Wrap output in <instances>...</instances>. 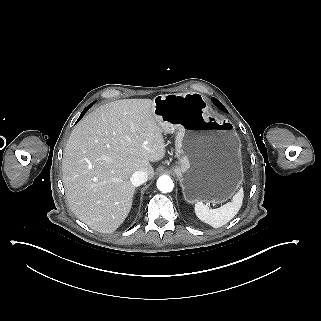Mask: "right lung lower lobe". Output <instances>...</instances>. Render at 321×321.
Here are the masks:
<instances>
[{
  "mask_svg": "<svg viewBox=\"0 0 321 321\" xmlns=\"http://www.w3.org/2000/svg\"><path fill=\"white\" fill-rule=\"evenodd\" d=\"M95 102H92L91 104H89L81 113L79 119L77 120V122L83 117V115L85 114V112L94 104Z\"/></svg>",
  "mask_w": 321,
  "mask_h": 321,
  "instance_id": "98d812e1",
  "label": "right lung lower lobe"
}]
</instances>
